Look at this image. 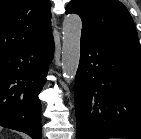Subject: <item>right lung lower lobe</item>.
I'll use <instances>...</instances> for the list:
<instances>
[{
    "label": "right lung lower lobe",
    "instance_id": "98d812e1",
    "mask_svg": "<svg viewBox=\"0 0 141 139\" xmlns=\"http://www.w3.org/2000/svg\"><path fill=\"white\" fill-rule=\"evenodd\" d=\"M54 52L52 35L0 53V126L41 139V102L47 65Z\"/></svg>",
    "mask_w": 141,
    "mask_h": 139
}]
</instances>
